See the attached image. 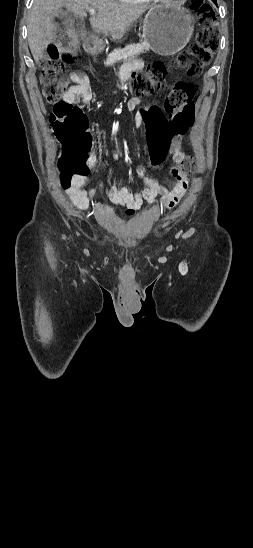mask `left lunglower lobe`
Instances as JSON below:
<instances>
[{"label":"left lung lower lobe","mask_w":253,"mask_h":548,"mask_svg":"<svg viewBox=\"0 0 253 548\" xmlns=\"http://www.w3.org/2000/svg\"><path fill=\"white\" fill-rule=\"evenodd\" d=\"M212 1H213V2L215 3V4L217 3V1H216V0H212Z\"/></svg>","instance_id":"obj_1"}]
</instances>
